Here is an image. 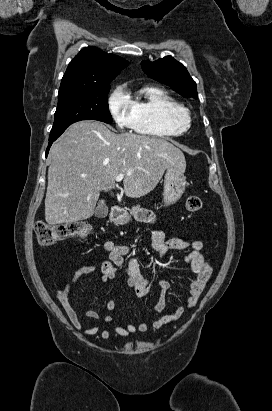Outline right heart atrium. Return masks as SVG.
<instances>
[{
  "label": "right heart atrium",
  "mask_w": 272,
  "mask_h": 411,
  "mask_svg": "<svg viewBox=\"0 0 272 411\" xmlns=\"http://www.w3.org/2000/svg\"><path fill=\"white\" fill-rule=\"evenodd\" d=\"M108 111L119 129H129L133 127V105L124 86H117L111 92L108 98Z\"/></svg>",
  "instance_id": "1"
}]
</instances>
